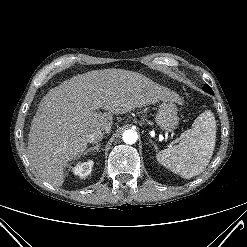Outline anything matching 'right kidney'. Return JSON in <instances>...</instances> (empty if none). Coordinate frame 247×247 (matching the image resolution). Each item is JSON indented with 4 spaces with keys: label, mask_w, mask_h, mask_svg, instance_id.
I'll return each mask as SVG.
<instances>
[{
    "label": "right kidney",
    "mask_w": 247,
    "mask_h": 247,
    "mask_svg": "<svg viewBox=\"0 0 247 247\" xmlns=\"http://www.w3.org/2000/svg\"><path fill=\"white\" fill-rule=\"evenodd\" d=\"M93 165L94 162L92 160L80 162L72 168V172L80 178H85L91 173Z\"/></svg>",
    "instance_id": "right-kidney-1"
}]
</instances>
